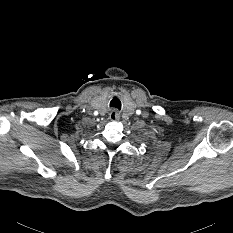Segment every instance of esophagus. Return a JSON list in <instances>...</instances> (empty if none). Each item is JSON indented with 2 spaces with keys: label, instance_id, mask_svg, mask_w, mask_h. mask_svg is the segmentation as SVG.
<instances>
[{
  "label": "esophagus",
  "instance_id": "esophagus-1",
  "mask_svg": "<svg viewBox=\"0 0 233 233\" xmlns=\"http://www.w3.org/2000/svg\"><path fill=\"white\" fill-rule=\"evenodd\" d=\"M109 118L111 121H118L120 118V113L114 109L109 113Z\"/></svg>",
  "mask_w": 233,
  "mask_h": 233
}]
</instances>
